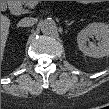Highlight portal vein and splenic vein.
Here are the masks:
<instances>
[{
    "instance_id": "1",
    "label": "portal vein and splenic vein",
    "mask_w": 109,
    "mask_h": 109,
    "mask_svg": "<svg viewBox=\"0 0 109 109\" xmlns=\"http://www.w3.org/2000/svg\"><path fill=\"white\" fill-rule=\"evenodd\" d=\"M39 1H30L29 6L32 8L38 4Z\"/></svg>"
}]
</instances>
